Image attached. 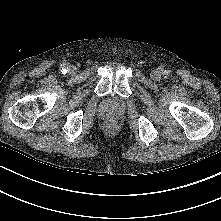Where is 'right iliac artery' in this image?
<instances>
[{
	"mask_svg": "<svg viewBox=\"0 0 221 221\" xmlns=\"http://www.w3.org/2000/svg\"><path fill=\"white\" fill-rule=\"evenodd\" d=\"M61 69L63 73H66V71L68 70V66L66 64H62Z\"/></svg>",
	"mask_w": 221,
	"mask_h": 221,
	"instance_id": "obj_1",
	"label": "right iliac artery"
}]
</instances>
